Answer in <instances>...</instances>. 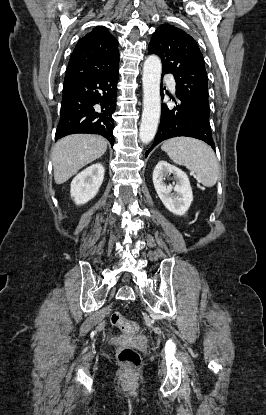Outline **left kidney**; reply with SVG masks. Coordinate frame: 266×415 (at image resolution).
I'll return each instance as SVG.
<instances>
[{"mask_svg": "<svg viewBox=\"0 0 266 415\" xmlns=\"http://www.w3.org/2000/svg\"><path fill=\"white\" fill-rule=\"evenodd\" d=\"M170 174L174 175L175 185H166L164 182ZM153 184L166 209L178 216L187 212L193 201V193L185 172L167 161H159L153 171Z\"/></svg>", "mask_w": 266, "mask_h": 415, "instance_id": "5707ae66", "label": "left kidney"}]
</instances>
